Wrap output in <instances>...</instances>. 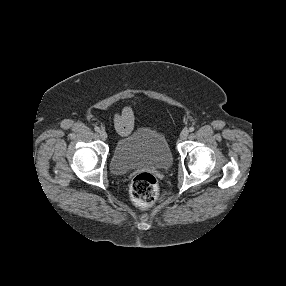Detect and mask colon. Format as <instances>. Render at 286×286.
Listing matches in <instances>:
<instances>
[{
  "instance_id": "1",
  "label": "colon",
  "mask_w": 286,
  "mask_h": 286,
  "mask_svg": "<svg viewBox=\"0 0 286 286\" xmlns=\"http://www.w3.org/2000/svg\"><path fill=\"white\" fill-rule=\"evenodd\" d=\"M159 192L156 178L148 173L142 172L136 175L130 186V195L135 203L141 206L152 204Z\"/></svg>"
}]
</instances>
